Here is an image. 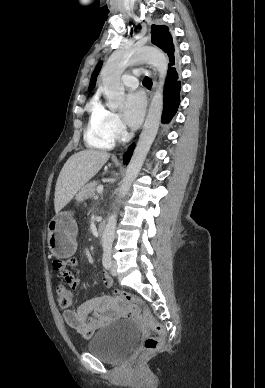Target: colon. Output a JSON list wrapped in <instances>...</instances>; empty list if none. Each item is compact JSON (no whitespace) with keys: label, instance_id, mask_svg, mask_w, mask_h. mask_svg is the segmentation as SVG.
I'll return each mask as SVG.
<instances>
[{"label":"colon","instance_id":"obj_1","mask_svg":"<svg viewBox=\"0 0 265 388\" xmlns=\"http://www.w3.org/2000/svg\"><path fill=\"white\" fill-rule=\"evenodd\" d=\"M114 298L118 301H125L134 304L142 309L144 322L157 334V336H148L145 338L143 346L146 351H156L163 344L166 336V328L158 322L144 299L124 290H115ZM57 299L61 308H69L73 304V295L71 291L63 285L57 287Z\"/></svg>","mask_w":265,"mask_h":388}]
</instances>
